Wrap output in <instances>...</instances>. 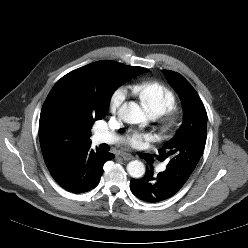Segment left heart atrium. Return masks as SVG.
Here are the masks:
<instances>
[{
  "label": "left heart atrium",
  "mask_w": 248,
  "mask_h": 248,
  "mask_svg": "<svg viewBox=\"0 0 248 248\" xmlns=\"http://www.w3.org/2000/svg\"><path fill=\"white\" fill-rule=\"evenodd\" d=\"M149 139H151L149 135L137 131H133V132H129L126 135L125 142L129 146L137 148L141 146L144 142L148 141Z\"/></svg>",
  "instance_id": "left-heart-atrium-1"
}]
</instances>
